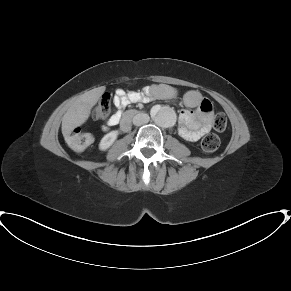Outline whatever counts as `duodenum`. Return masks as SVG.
I'll list each match as a JSON object with an SVG mask.
<instances>
[{
    "instance_id": "410a0bca",
    "label": "duodenum",
    "mask_w": 291,
    "mask_h": 291,
    "mask_svg": "<svg viewBox=\"0 0 291 291\" xmlns=\"http://www.w3.org/2000/svg\"><path fill=\"white\" fill-rule=\"evenodd\" d=\"M140 112L137 110H128L122 116V122L120 128L122 131H128L130 128V121L135 116L139 115Z\"/></svg>"
}]
</instances>
